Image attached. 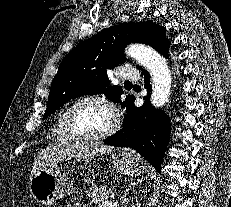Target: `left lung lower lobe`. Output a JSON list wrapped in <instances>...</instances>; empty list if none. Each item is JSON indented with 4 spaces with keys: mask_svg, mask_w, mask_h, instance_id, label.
<instances>
[{
    "mask_svg": "<svg viewBox=\"0 0 231 207\" xmlns=\"http://www.w3.org/2000/svg\"><path fill=\"white\" fill-rule=\"evenodd\" d=\"M168 47V46H167ZM167 47L162 54L168 58ZM145 89L150 92L149 73L143 70ZM150 94L144 97L146 102L141 108L133 104L127 107L123 129L104 140L105 144L119 147H131L141 154L157 171L161 170V162L170 137V120L166 114L155 109L149 101Z\"/></svg>",
    "mask_w": 231,
    "mask_h": 207,
    "instance_id": "1",
    "label": "left lung lower lobe"
}]
</instances>
